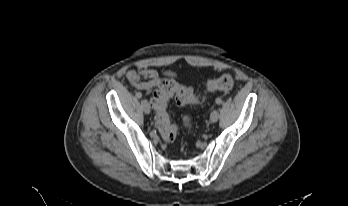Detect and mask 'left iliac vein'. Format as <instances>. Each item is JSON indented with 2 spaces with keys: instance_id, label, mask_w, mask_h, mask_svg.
<instances>
[{
  "instance_id": "obj_1",
  "label": "left iliac vein",
  "mask_w": 348,
  "mask_h": 206,
  "mask_svg": "<svg viewBox=\"0 0 348 206\" xmlns=\"http://www.w3.org/2000/svg\"><path fill=\"white\" fill-rule=\"evenodd\" d=\"M218 118H219V112L217 110H213L210 114L211 122L213 123L217 122Z\"/></svg>"
}]
</instances>
